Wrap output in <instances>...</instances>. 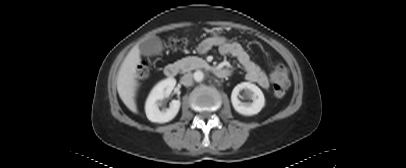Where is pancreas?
<instances>
[{
  "mask_svg": "<svg viewBox=\"0 0 406 168\" xmlns=\"http://www.w3.org/2000/svg\"><path fill=\"white\" fill-rule=\"evenodd\" d=\"M178 64L185 71H191L193 69L204 67L207 63L202 58L198 57H186L178 61Z\"/></svg>",
  "mask_w": 406,
  "mask_h": 168,
  "instance_id": "cf45deb5",
  "label": "pancreas"
}]
</instances>
